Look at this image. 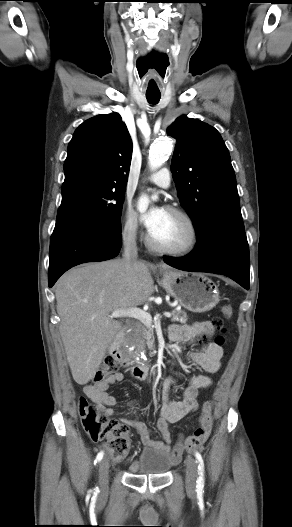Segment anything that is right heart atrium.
<instances>
[{
	"mask_svg": "<svg viewBox=\"0 0 292 527\" xmlns=\"http://www.w3.org/2000/svg\"><path fill=\"white\" fill-rule=\"evenodd\" d=\"M138 231L137 216L132 209L127 208L123 217L122 237L126 241H134L138 236Z\"/></svg>",
	"mask_w": 292,
	"mask_h": 527,
	"instance_id": "1",
	"label": "right heart atrium"
}]
</instances>
